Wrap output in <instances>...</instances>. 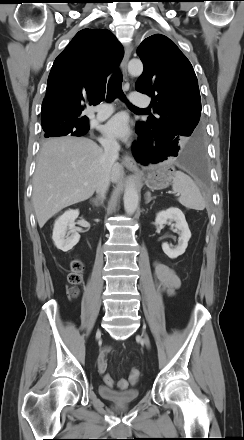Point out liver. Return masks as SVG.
<instances>
[{
  "mask_svg": "<svg viewBox=\"0 0 244 440\" xmlns=\"http://www.w3.org/2000/svg\"><path fill=\"white\" fill-rule=\"evenodd\" d=\"M104 151L85 137H60L46 141L33 176L32 202L39 227L70 205L89 199L103 172ZM122 166L114 163L111 179L117 182Z\"/></svg>",
  "mask_w": 244,
  "mask_h": 440,
  "instance_id": "liver-1",
  "label": "liver"
}]
</instances>
